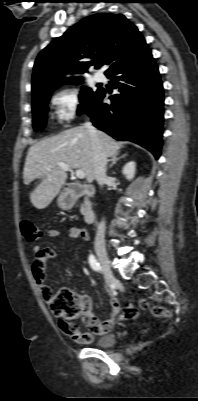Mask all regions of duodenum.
<instances>
[{
    "label": "duodenum",
    "instance_id": "obj_1",
    "mask_svg": "<svg viewBox=\"0 0 198 401\" xmlns=\"http://www.w3.org/2000/svg\"><path fill=\"white\" fill-rule=\"evenodd\" d=\"M95 190L90 185L85 184H71L68 187L66 200L69 205H73L74 202L81 198L86 197L87 201L84 207L83 220L86 224L90 225L95 221L96 212L90 203V199L94 196Z\"/></svg>",
    "mask_w": 198,
    "mask_h": 401
}]
</instances>
